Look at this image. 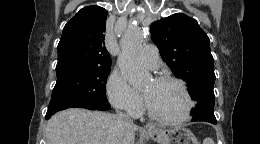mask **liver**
Segmentation results:
<instances>
[{
    "label": "liver",
    "mask_w": 260,
    "mask_h": 144,
    "mask_svg": "<svg viewBox=\"0 0 260 144\" xmlns=\"http://www.w3.org/2000/svg\"><path fill=\"white\" fill-rule=\"evenodd\" d=\"M137 130L117 115L70 108L48 120L46 139L47 144H132Z\"/></svg>",
    "instance_id": "liver-1"
}]
</instances>
